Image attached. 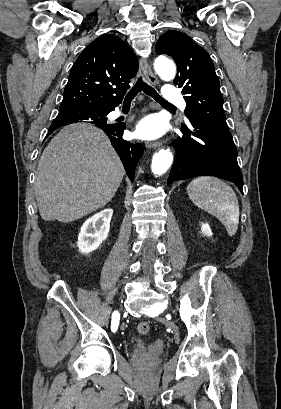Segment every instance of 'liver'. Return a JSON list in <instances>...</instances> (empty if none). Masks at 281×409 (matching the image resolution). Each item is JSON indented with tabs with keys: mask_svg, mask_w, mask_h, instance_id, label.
<instances>
[{
	"mask_svg": "<svg viewBox=\"0 0 281 409\" xmlns=\"http://www.w3.org/2000/svg\"><path fill=\"white\" fill-rule=\"evenodd\" d=\"M125 174L107 134L90 122L64 126L38 162L34 194L43 221L71 223L113 198Z\"/></svg>",
	"mask_w": 281,
	"mask_h": 409,
	"instance_id": "1",
	"label": "liver"
}]
</instances>
